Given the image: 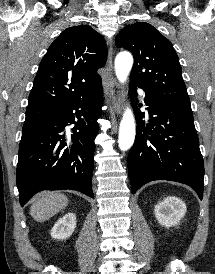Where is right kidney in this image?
<instances>
[{
    "label": "right kidney",
    "mask_w": 215,
    "mask_h": 274,
    "mask_svg": "<svg viewBox=\"0 0 215 274\" xmlns=\"http://www.w3.org/2000/svg\"><path fill=\"white\" fill-rule=\"evenodd\" d=\"M76 227V217L73 213H67L62 218H60L51 230V236L54 239L63 240L74 232Z\"/></svg>",
    "instance_id": "obj_1"
}]
</instances>
